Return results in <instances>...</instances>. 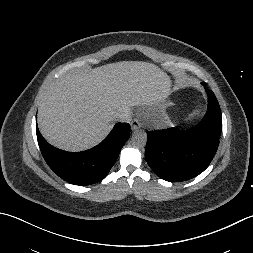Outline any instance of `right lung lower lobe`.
<instances>
[{"label":"right lung lower lobe","mask_w":253,"mask_h":253,"mask_svg":"<svg viewBox=\"0 0 253 253\" xmlns=\"http://www.w3.org/2000/svg\"><path fill=\"white\" fill-rule=\"evenodd\" d=\"M41 153L49 167L63 180L75 185H91L103 180L129 138L130 125L117 123L98 146L83 152H67L47 143L36 126Z\"/></svg>","instance_id":"98d812e1"}]
</instances>
